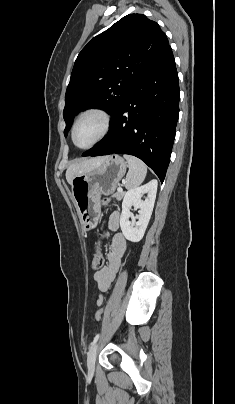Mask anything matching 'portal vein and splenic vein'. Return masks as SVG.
I'll return each instance as SVG.
<instances>
[{
	"mask_svg": "<svg viewBox=\"0 0 235 404\" xmlns=\"http://www.w3.org/2000/svg\"><path fill=\"white\" fill-rule=\"evenodd\" d=\"M117 191H118V192H122L123 189H122L121 187H118Z\"/></svg>",
	"mask_w": 235,
	"mask_h": 404,
	"instance_id": "obj_1",
	"label": "portal vein and splenic vein"
}]
</instances>
